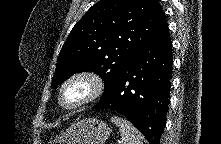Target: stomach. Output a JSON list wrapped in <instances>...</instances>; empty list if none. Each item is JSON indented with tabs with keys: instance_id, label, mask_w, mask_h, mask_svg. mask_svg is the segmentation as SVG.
Instances as JSON below:
<instances>
[{
	"instance_id": "obj_1",
	"label": "stomach",
	"mask_w": 221,
	"mask_h": 144,
	"mask_svg": "<svg viewBox=\"0 0 221 144\" xmlns=\"http://www.w3.org/2000/svg\"><path fill=\"white\" fill-rule=\"evenodd\" d=\"M110 127L96 118L77 120L54 141L59 144H103L111 133Z\"/></svg>"
}]
</instances>
